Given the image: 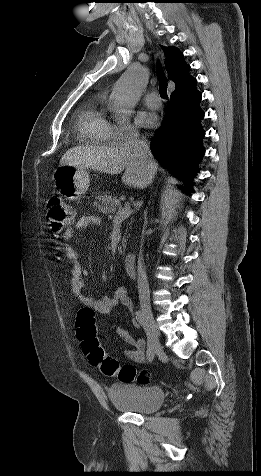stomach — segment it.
<instances>
[{"instance_id": "0dacf381", "label": "stomach", "mask_w": 261, "mask_h": 476, "mask_svg": "<svg viewBox=\"0 0 261 476\" xmlns=\"http://www.w3.org/2000/svg\"><path fill=\"white\" fill-rule=\"evenodd\" d=\"M55 186L69 200H76L86 193L89 188V172L84 168L60 166L54 171Z\"/></svg>"}]
</instances>
